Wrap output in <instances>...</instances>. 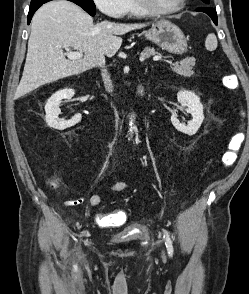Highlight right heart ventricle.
<instances>
[{
    "instance_id": "e07e8e85",
    "label": "right heart ventricle",
    "mask_w": 249,
    "mask_h": 294,
    "mask_svg": "<svg viewBox=\"0 0 249 294\" xmlns=\"http://www.w3.org/2000/svg\"><path fill=\"white\" fill-rule=\"evenodd\" d=\"M123 15L143 16L145 14L139 9L135 0H125Z\"/></svg>"
}]
</instances>
